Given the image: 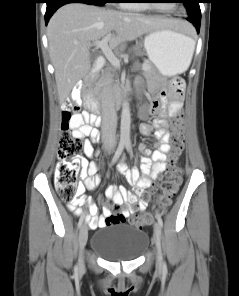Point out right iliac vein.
<instances>
[{
	"label": "right iliac vein",
	"mask_w": 239,
	"mask_h": 296,
	"mask_svg": "<svg viewBox=\"0 0 239 296\" xmlns=\"http://www.w3.org/2000/svg\"><path fill=\"white\" fill-rule=\"evenodd\" d=\"M88 240V227L86 224L82 225L79 233V248H80V258L79 265L80 267L84 264V249Z\"/></svg>",
	"instance_id": "1"
}]
</instances>
